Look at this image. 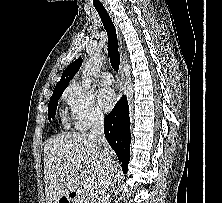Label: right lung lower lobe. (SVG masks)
I'll use <instances>...</instances> for the list:
<instances>
[{"mask_svg":"<svg viewBox=\"0 0 222 203\" xmlns=\"http://www.w3.org/2000/svg\"><path fill=\"white\" fill-rule=\"evenodd\" d=\"M105 137L122 163L124 173L127 172L130 160V118L127 99L123 96L113 110L106 116L104 122Z\"/></svg>","mask_w":222,"mask_h":203,"instance_id":"1","label":"right lung lower lobe"}]
</instances>
